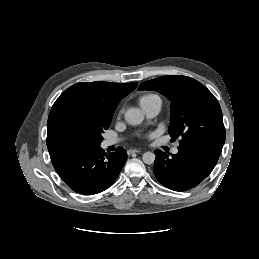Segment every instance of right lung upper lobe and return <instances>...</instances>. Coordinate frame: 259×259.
Returning <instances> with one entry per match:
<instances>
[{
    "instance_id": "cb5924a9",
    "label": "right lung upper lobe",
    "mask_w": 259,
    "mask_h": 259,
    "mask_svg": "<svg viewBox=\"0 0 259 259\" xmlns=\"http://www.w3.org/2000/svg\"><path fill=\"white\" fill-rule=\"evenodd\" d=\"M136 86L137 83L80 82L66 89L53 104L48 117V150L62 147L57 137L62 116L78 112L102 120L112 119L121 99Z\"/></svg>"
}]
</instances>
